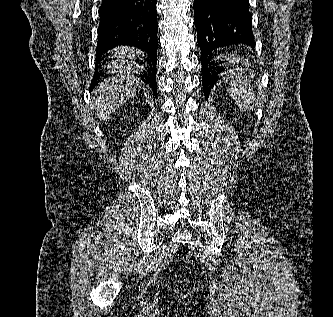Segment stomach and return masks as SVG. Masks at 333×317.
<instances>
[{
  "instance_id": "1",
  "label": "stomach",
  "mask_w": 333,
  "mask_h": 317,
  "mask_svg": "<svg viewBox=\"0 0 333 317\" xmlns=\"http://www.w3.org/2000/svg\"><path fill=\"white\" fill-rule=\"evenodd\" d=\"M223 52H234V45H223ZM215 62H246V55H215ZM246 82V81H229Z\"/></svg>"
}]
</instances>
